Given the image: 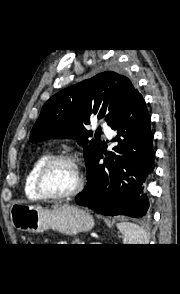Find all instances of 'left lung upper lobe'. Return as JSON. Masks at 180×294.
<instances>
[{"instance_id":"obj_1","label":"left lung upper lobe","mask_w":180,"mask_h":294,"mask_svg":"<svg viewBox=\"0 0 180 294\" xmlns=\"http://www.w3.org/2000/svg\"><path fill=\"white\" fill-rule=\"evenodd\" d=\"M138 93L129 78L105 71L91 79L68 87L52 96L43 106L30 133V142L49 138L78 139L84 148L86 168L101 148L100 140H88L84 127L89 117L104 118L108 125L118 118Z\"/></svg>"}]
</instances>
